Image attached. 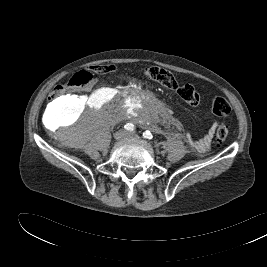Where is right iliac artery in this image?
<instances>
[{"label":"right iliac artery","instance_id":"right-iliac-artery-1","mask_svg":"<svg viewBox=\"0 0 267 267\" xmlns=\"http://www.w3.org/2000/svg\"><path fill=\"white\" fill-rule=\"evenodd\" d=\"M124 128L128 131H133L134 130V125L132 123H126Z\"/></svg>","mask_w":267,"mask_h":267}]
</instances>
